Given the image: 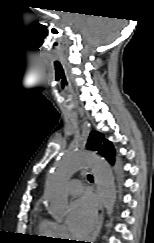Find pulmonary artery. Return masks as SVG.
Returning a JSON list of instances; mask_svg holds the SVG:
<instances>
[{"label": "pulmonary artery", "instance_id": "e3ab8cb5", "mask_svg": "<svg viewBox=\"0 0 154 243\" xmlns=\"http://www.w3.org/2000/svg\"><path fill=\"white\" fill-rule=\"evenodd\" d=\"M67 191L71 195H78L82 191L81 181L74 179L67 184Z\"/></svg>", "mask_w": 154, "mask_h": 243}]
</instances>
